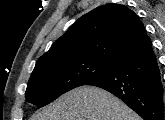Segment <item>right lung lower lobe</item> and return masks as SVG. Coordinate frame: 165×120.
<instances>
[{
	"label": "right lung lower lobe",
	"mask_w": 165,
	"mask_h": 120,
	"mask_svg": "<svg viewBox=\"0 0 165 120\" xmlns=\"http://www.w3.org/2000/svg\"><path fill=\"white\" fill-rule=\"evenodd\" d=\"M86 85L114 94L144 120H164L163 87L151 43L129 54L112 71Z\"/></svg>",
	"instance_id": "98d812e1"
}]
</instances>
